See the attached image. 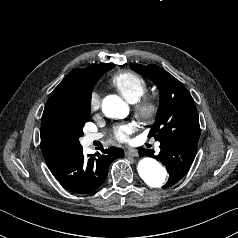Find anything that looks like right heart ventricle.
Masks as SVG:
<instances>
[{"instance_id":"1","label":"right heart ventricle","mask_w":238,"mask_h":238,"mask_svg":"<svg viewBox=\"0 0 238 238\" xmlns=\"http://www.w3.org/2000/svg\"><path fill=\"white\" fill-rule=\"evenodd\" d=\"M110 83L129 102H136L146 91L147 82L131 71H120L110 78Z\"/></svg>"}]
</instances>
